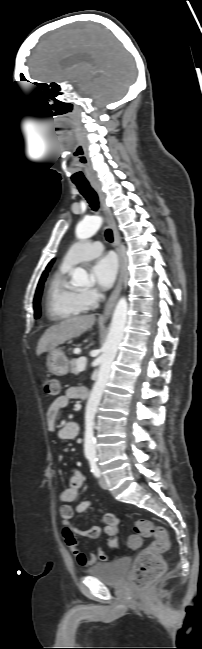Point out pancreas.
Instances as JSON below:
<instances>
[{
  "label": "pancreas",
  "instance_id": "pancreas-1",
  "mask_svg": "<svg viewBox=\"0 0 202 649\" xmlns=\"http://www.w3.org/2000/svg\"><path fill=\"white\" fill-rule=\"evenodd\" d=\"M77 362H78L77 359H73L70 361V372L74 375H78L80 373V371L77 368Z\"/></svg>",
  "mask_w": 202,
  "mask_h": 649
}]
</instances>
